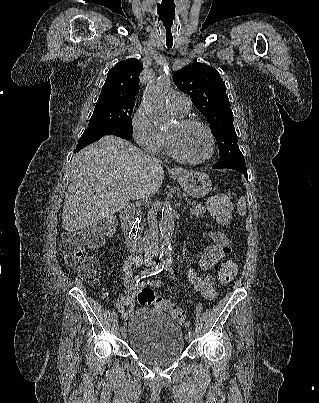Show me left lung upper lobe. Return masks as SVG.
<instances>
[{
  "mask_svg": "<svg viewBox=\"0 0 319 403\" xmlns=\"http://www.w3.org/2000/svg\"><path fill=\"white\" fill-rule=\"evenodd\" d=\"M173 81L181 91L190 95L193 104L210 123L218 142L220 160L245 161L237 144L225 83L218 71L195 62L175 72Z\"/></svg>",
  "mask_w": 319,
  "mask_h": 403,
  "instance_id": "5c2ea615",
  "label": "left lung upper lobe"
}]
</instances>
